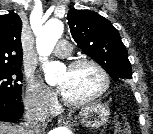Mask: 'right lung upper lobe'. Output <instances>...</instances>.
<instances>
[{
    "instance_id": "right-lung-upper-lobe-1",
    "label": "right lung upper lobe",
    "mask_w": 153,
    "mask_h": 134,
    "mask_svg": "<svg viewBox=\"0 0 153 134\" xmlns=\"http://www.w3.org/2000/svg\"><path fill=\"white\" fill-rule=\"evenodd\" d=\"M21 30L22 21L16 13L0 15V67L21 66Z\"/></svg>"
}]
</instances>
